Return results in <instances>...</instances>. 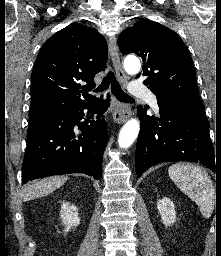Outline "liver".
Returning a JSON list of instances; mask_svg holds the SVG:
<instances>
[{
  "label": "liver",
  "instance_id": "liver-1",
  "mask_svg": "<svg viewBox=\"0 0 221 256\" xmlns=\"http://www.w3.org/2000/svg\"><path fill=\"white\" fill-rule=\"evenodd\" d=\"M67 179L68 177L66 176H52L29 183L23 187V200H32L52 193L56 189L60 188Z\"/></svg>",
  "mask_w": 221,
  "mask_h": 256
}]
</instances>
